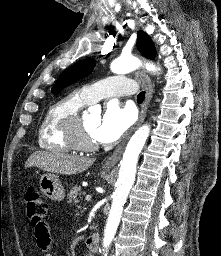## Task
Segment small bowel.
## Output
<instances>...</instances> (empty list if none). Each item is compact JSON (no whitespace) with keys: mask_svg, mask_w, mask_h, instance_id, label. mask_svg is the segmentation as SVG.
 <instances>
[{"mask_svg":"<svg viewBox=\"0 0 221 256\" xmlns=\"http://www.w3.org/2000/svg\"><path fill=\"white\" fill-rule=\"evenodd\" d=\"M35 237L38 247L44 252V256H52V239L48 225L42 230L35 229Z\"/></svg>","mask_w":221,"mask_h":256,"instance_id":"obj_1","label":"small bowel"}]
</instances>
